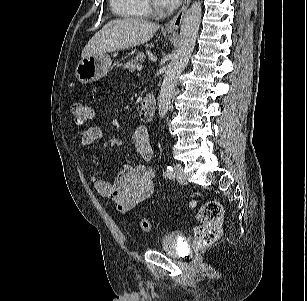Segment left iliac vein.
<instances>
[{
	"label": "left iliac vein",
	"mask_w": 307,
	"mask_h": 301,
	"mask_svg": "<svg viewBox=\"0 0 307 301\" xmlns=\"http://www.w3.org/2000/svg\"><path fill=\"white\" fill-rule=\"evenodd\" d=\"M175 173H176V178L181 184H186L187 183V178L184 174V168L181 164L177 163L174 166Z\"/></svg>",
	"instance_id": "4c4485c4"
}]
</instances>
